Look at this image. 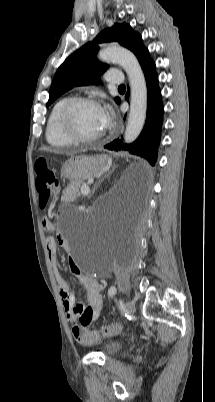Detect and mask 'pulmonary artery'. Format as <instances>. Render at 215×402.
Segmentation results:
<instances>
[{"instance_id":"1","label":"pulmonary artery","mask_w":215,"mask_h":402,"mask_svg":"<svg viewBox=\"0 0 215 402\" xmlns=\"http://www.w3.org/2000/svg\"><path fill=\"white\" fill-rule=\"evenodd\" d=\"M105 79L111 84H122L124 82V77L122 73L116 70H110L105 74Z\"/></svg>"}]
</instances>
